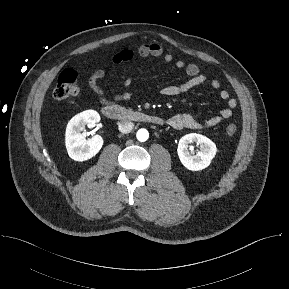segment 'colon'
I'll return each mask as SVG.
<instances>
[{"mask_svg": "<svg viewBox=\"0 0 289 289\" xmlns=\"http://www.w3.org/2000/svg\"><path fill=\"white\" fill-rule=\"evenodd\" d=\"M79 87L77 84V74L71 68L64 69L58 79L53 91V96L56 99H67L77 95ZM237 127L235 124L230 123L226 127V133L229 136L235 135Z\"/></svg>", "mask_w": 289, "mask_h": 289, "instance_id": "1", "label": "colon"}]
</instances>
